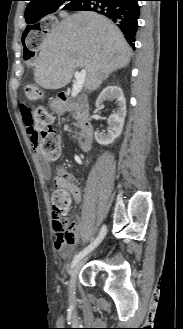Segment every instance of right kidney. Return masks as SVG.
Wrapping results in <instances>:
<instances>
[{
  "label": "right kidney",
  "instance_id": "right-kidney-1",
  "mask_svg": "<svg viewBox=\"0 0 183 329\" xmlns=\"http://www.w3.org/2000/svg\"><path fill=\"white\" fill-rule=\"evenodd\" d=\"M106 100H116L118 108L108 118V132L94 133L95 140L101 145L112 144L120 136L126 117V100L120 87L110 85L104 88L96 100V107H104Z\"/></svg>",
  "mask_w": 183,
  "mask_h": 329
}]
</instances>
